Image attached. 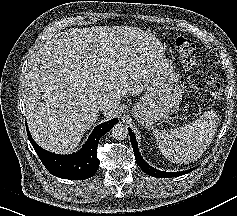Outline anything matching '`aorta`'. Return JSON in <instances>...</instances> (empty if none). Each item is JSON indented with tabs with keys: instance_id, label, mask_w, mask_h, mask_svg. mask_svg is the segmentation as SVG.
Returning a JSON list of instances; mask_svg holds the SVG:
<instances>
[{
	"instance_id": "obj_1",
	"label": "aorta",
	"mask_w": 237,
	"mask_h": 216,
	"mask_svg": "<svg viewBox=\"0 0 237 216\" xmlns=\"http://www.w3.org/2000/svg\"><path fill=\"white\" fill-rule=\"evenodd\" d=\"M128 134V128L122 122L116 123L111 128V135L116 140H124L127 138Z\"/></svg>"
}]
</instances>
